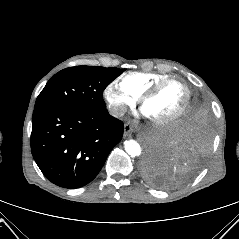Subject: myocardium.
Segmentation results:
<instances>
[{"label":"myocardium","instance_id":"obj_1","mask_svg":"<svg viewBox=\"0 0 239 239\" xmlns=\"http://www.w3.org/2000/svg\"><path fill=\"white\" fill-rule=\"evenodd\" d=\"M172 82H178V83L183 85V87L185 88V91H186L185 101H184L183 105L178 109V111H176L172 115H169V116H166V117H150V116H148L154 124L161 125V124L170 123L172 121H175V120L179 119L180 117H182L186 113V111H187V109L190 105L191 97H192V91H191V88L189 87V85L185 81H183L179 78L167 77V78L162 79L159 82L153 84L152 86H150L140 96L139 102H140L141 107H143L144 103L147 100H149L150 98H152L153 96H155L164 86H166L167 84L172 83Z\"/></svg>","mask_w":239,"mask_h":239}]
</instances>
